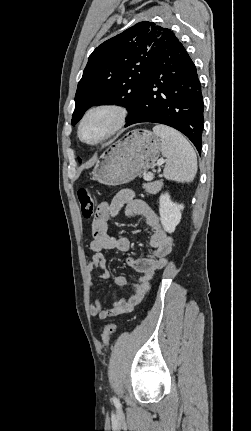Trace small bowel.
Masks as SVG:
<instances>
[{
    "label": "small bowel",
    "mask_w": 251,
    "mask_h": 431,
    "mask_svg": "<svg viewBox=\"0 0 251 431\" xmlns=\"http://www.w3.org/2000/svg\"><path fill=\"white\" fill-rule=\"evenodd\" d=\"M126 216H141L146 224L153 229L149 239L152 253L139 259H128V264L140 273L137 281L131 285L132 291L125 297L113 302L111 306H103L98 298L91 302L90 312L92 316L105 320L121 313L130 312L137 305L149 287V281L157 270L163 268L173 249V238L161 226L158 215L142 199L136 198L129 189L119 191L110 202H102L95 213L91 229L93 240L90 248L93 252L87 265L90 288L92 287V274L99 270L98 276L102 279H111L106 269V260L103 250H119L127 252L130 242L126 237L114 236L108 233V220L118 216L121 212ZM113 282L119 287L128 286L127 279L122 275L113 277Z\"/></svg>",
    "instance_id": "small-bowel-1"
}]
</instances>
